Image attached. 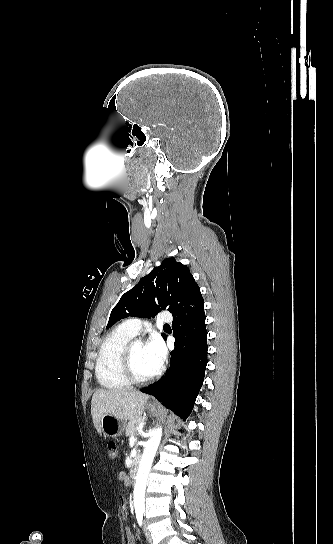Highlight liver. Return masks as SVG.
<instances>
[{"label": "liver", "instance_id": "obj_1", "mask_svg": "<svg viewBox=\"0 0 333 544\" xmlns=\"http://www.w3.org/2000/svg\"><path fill=\"white\" fill-rule=\"evenodd\" d=\"M149 396L136 390L99 389L92 396L91 415L94 426L101 433L100 422L105 414L120 420H136L141 417Z\"/></svg>", "mask_w": 333, "mask_h": 544}]
</instances>
